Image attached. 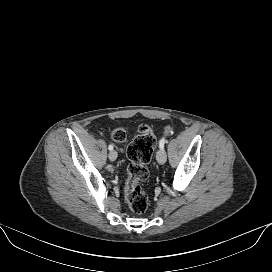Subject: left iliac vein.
<instances>
[{
	"label": "left iliac vein",
	"instance_id": "4c4485c4",
	"mask_svg": "<svg viewBox=\"0 0 272 272\" xmlns=\"http://www.w3.org/2000/svg\"><path fill=\"white\" fill-rule=\"evenodd\" d=\"M156 159H157L159 164H161V165L164 164L166 162V159H167L166 151L164 149H160L157 152Z\"/></svg>",
	"mask_w": 272,
	"mask_h": 272
}]
</instances>
